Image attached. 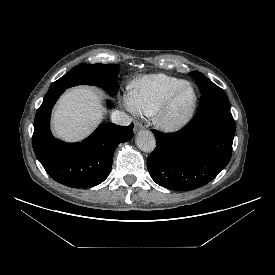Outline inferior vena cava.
I'll return each mask as SVG.
<instances>
[{
  "instance_id": "602c4592",
  "label": "inferior vena cava",
  "mask_w": 275,
  "mask_h": 275,
  "mask_svg": "<svg viewBox=\"0 0 275 275\" xmlns=\"http://www.w3.org/2000/svg\"><path fill=\"white\" fill-rule=\"evenodd\" d=\"M111 120L113 123L123 126H127L132 122V118L130 116L118 110L112 113Z\"/></svg>"
}]
</instances>
